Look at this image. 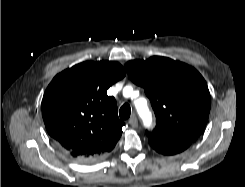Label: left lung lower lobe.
I'll return each mask as SVG.
<instances>
[{
	"label": "left lung lower lobe",
	"instance_id": "left-lung-lower-lobe-1",
	"mask_svg": "<svg viewBox=\"0 0 245 187\" xmlns=\"http://www.w3.org/2000/svg\"><path fill=\"white\" fill-rule=\"evenodd\" d=\"M151 147L164 155H174L187 149L193 142L184 141L176 143H163L154 139H148Z\"/></svg>",
	"mask_w": 245,
	"mask_h": 187
}]
</instances>
